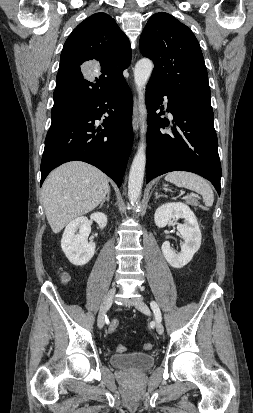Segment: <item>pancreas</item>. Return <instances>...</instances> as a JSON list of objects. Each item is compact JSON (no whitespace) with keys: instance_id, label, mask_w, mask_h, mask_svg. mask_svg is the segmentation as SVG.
<instances>
[{"instance_id":"1","label":"pancreas","mask_w":253,"mask_h":413,"mask_svg":"<svg viewBox=\"0 0 253 413\" xmlns=\"http://www.w3.org/2000/svg\"><path fill=\"white\" fill-rule=\"evenodd\" d=\"M186 202H187L189 205L194 206V207H196V206L199 205L198 200H197L196 198H194V197H187Z\"/></svg>"}]
</instances>
